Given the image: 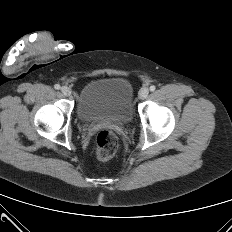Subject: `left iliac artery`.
Returning a JSON list of instances; mask_svg holds the SVG:
<instances>
[{
  "mask_svg": "<svg viewBox=\"0 0 232 232\" xmlns=\"http://www.w3.org/2000/svg\"><path fill=\"white\" fill-rule=\"evenodd\" d=\"M156 87L154 85L150 86V91H155Z\"/></svg>",
  "mask_w": 232,
  "mask_h": 232,
  "instance_id": "1",
  "label": "left iliac artery"
}]
</instances>
